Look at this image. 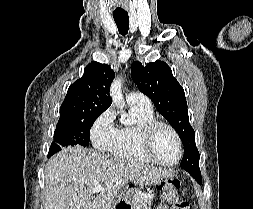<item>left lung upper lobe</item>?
Here are the masks:
<instances>
[{
	"instance_id": "1",
	"label": "left lung upper lobe",
	"mask_w": 253,
	"mask_h": 209,
	"mask_svg": "<svg viewBox=\"0 0 253 209\" xmlns=\"http://www.w3.org/2000/svg\"><path fill=\"white\" fill-rule=\"evenodd\" d=\"M132 79L138 89L147 95L160 114L177 131L184 145L181 168L189 174L199 169V152L195 132L189 123L187 102L183 88L172 75L170 67L157 60L145 67L139 61L131 65Z\"/></svg>"
}]
</instances>
